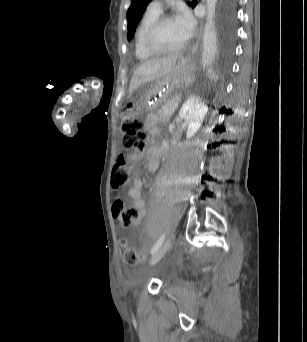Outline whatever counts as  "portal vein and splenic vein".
<instances>
[{
  "instance_id": "portal-vein-and-splenic-vein-1",
  "label": "portal vein and splenic vein",
  "mask_w": 307,
  "mask_h": 342,
  "mask_svg": "<svg viewBox=\"0 0 307 342\" xmlns=\"http://www.w3.org/2000/svg\"><path fill=\"white\" fill-rule=\"evenodd\" d=\"M172 108H173V109H176V108H177V105H176V104H173V105H172Z\"/></svg>"
}]
</instances>
